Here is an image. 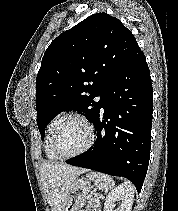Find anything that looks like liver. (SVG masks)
Here are the masks:
<instances>
[{"instance_id":"liver-1","label":"liver","mask_w":178,"mask_h":211,"mask_svg":"<svg viewBox=\"0 0 178 211\" xmlns=\"http://www.w3.org/2000/svg\"><path fill=\"white\" fill-rule=\"evenodd\" d=\"M86 169L58 162H43L40 168L44 189L52 211H64L71 184Z\"/></svg>"}]
</instances>
